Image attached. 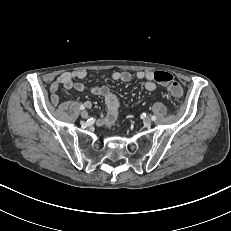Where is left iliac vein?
I'll use <instances>...</instances> for the list:
<instances>
[{
	"label": "left iliac vein",
	"instance_id": "1",
	"mask_svg": "<svg viewBox=\"0 0 231 231\" xmlns=\"http://www.w3.org/2000/svg\"><path fill=\"white\" fill-rule=\"evenodd\" d=\"M151 123H152V121H151L150 118H145V119H144V125H145L146 127L151 126Z\"/></svg>",
	"mask_w": 231,
	"mask_h": 231
}]
</instances>
